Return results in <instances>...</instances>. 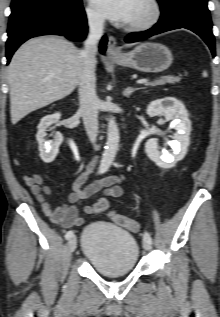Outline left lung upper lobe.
Segmentation results:
<instances>
[{"instance_id": "obj_1", "label": "left lung upper lobe", "mask_w": 220, "mask_h": 317, "mask_svg": "<svg viewBox=\"0 0 220 317\" xmlns=\"http://www.w3.org/2000/svg\"><path fill=\"white\" fill-rule=\"evenodd\" d=\"M161 6H165L172 2L173 0H158Z\"/></svg>"}]
</instances>
